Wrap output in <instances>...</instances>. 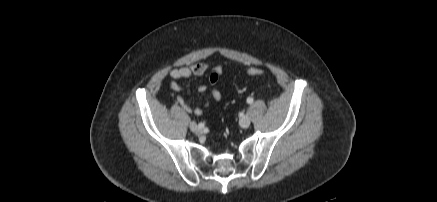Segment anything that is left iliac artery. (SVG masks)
<instances>
[{
  "mask_svg": "<svg viewBox=\"0 0 437 202\" xmlns=\"http://www.w3.org/2000/svg\"><path fill=\"white\" fill-rule=\"evenodd\" d=\"M247 103L252 104V103H253V98L248 97V98H247Z\"/></svg>",
  "mask_w": 437,
  "mask_h": 202,
  "instance_id": "1",
  "label": "left iliac artery"
}]
</instances>
